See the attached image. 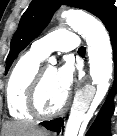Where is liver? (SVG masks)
Returning a JSON list of instances; mask_svg holds the SVG:
<instances>
[{"instance_id": "1", "label": "liver", "mask_w": 117, "mask_h": 136, "mask_svg": "<svg viewBox=\"0 0 117 136\" xmlns=\"http://www.w3.org/2000/svg\"><path fill=\"white\" fill-rule=\"evenodd\" d=\"M3 136H47V132L27 122H11L3 126Z\"/></svg>"}]
</instances>
